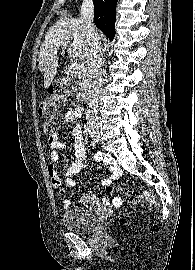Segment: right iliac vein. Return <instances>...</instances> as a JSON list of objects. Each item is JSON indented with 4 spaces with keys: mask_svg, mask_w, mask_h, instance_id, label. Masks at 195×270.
Masks as SVG:
<instances>
[{
    "mask_svg": "<svg viewBox=\"0 0 195 270\" xmlns=\"http://www.w3.org/2000/svg\"><path fill=\"white\" fill-rule=\"evenodd\" d=\"M91 137L96 141L99 142V132L98 131H93L91 133Z\"/></svg>",
    "mask_w": 195,
    "mask_h": 270,
    "instance_id": "right-iliac-vein-1",
    "label": "right iliac vein"
}]
</instances>
